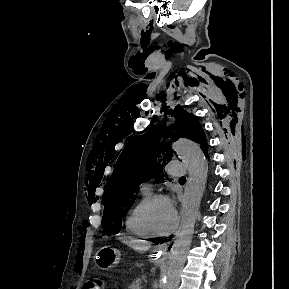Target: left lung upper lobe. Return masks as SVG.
Wrapping results in <instances>:
<instances>
[{
	"label": "left lung upper lobe",
	"mask_w": 289,
	"mask_h": 289,
	"mask_svg": "<svg viewBox=\"0 0 289 289\" xmlns=\"http://www.w3.org/2000/svg\"><path fill=\"white\" fill-rule=\"evenodd\" d=\"M174 111L176 124L169 128H165V124L155 129L150 127L147 134L130 139L117 160L103 194L105 235L119 233L122 219L133 205L134 193L141 183L153 177L163 178L162 168L172 157L171 142L181 137L189 138L207 153L208 145L198 119L180 107Z\"/></svg>",
	"instance_id": "1"
}]
</instances>
